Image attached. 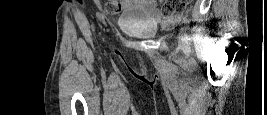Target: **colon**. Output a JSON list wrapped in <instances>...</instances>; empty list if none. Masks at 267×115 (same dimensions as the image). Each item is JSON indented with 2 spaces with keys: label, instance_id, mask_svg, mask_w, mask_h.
Masks as SVG:
<instances>
[{
  "label": "colon",
  "instance_id": "1",
  "mask_svg": "<svg viewBox=\"0 0 267 115\" xmlns=\"http://www.w3.org/2000/svg\"><path fill=\"white\" fill-rule=\"evenodd\" d=\"M121 2L119 0H110L105 6V10L109 14H116L121 9ZM190 3V0H165L162 8L161 15L164 18H171L176 13L182 11L186 5Z\"/></svg>",
  "mask_w": 267,
  "mask_h": 115
}]
</instances>
